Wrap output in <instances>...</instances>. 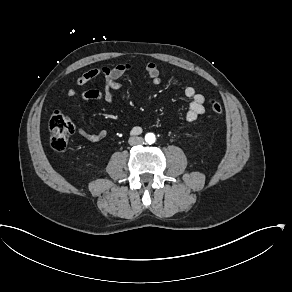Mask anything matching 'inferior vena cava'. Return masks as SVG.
Segmentation results:
<instances>
[{
	"label": "inferior vena cava",
	"mask_w": 292,
	"mask_h": 292,
	"mask_svg": "<svg viewBox=\"0 0 292 292\" xmlns=\"http://www.w3.org/2000/svg\"><path fill=\"white\" fill-rule=\"evenodd\" d=\"M128 143L132 146L142 145L144 143V139L142 137L133 136L129 138Z\"/></svg>",
	"instance_id": "inferior-vena-cava-1"
}]
</instances>
